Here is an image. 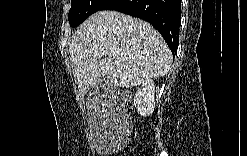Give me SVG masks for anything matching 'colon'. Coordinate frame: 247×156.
Here are the masks:
<instances>
[{
    "label": "colon",
    "instance_id": "5ec220e1",
    "mask_svg": "<svg viewBox=\"0 0 247 156\" xmlns=\"http://www.w3.org/2000/svg\"><path fill=\"white\" fill-rule=\"evenodd\" d=\"M117 97L124 103H128L131 99V93L128 90H121ZM116 113V112H115Z\"/></svg>",
    "mask_w": 247,
    "mask_h": 156
}]
</instances>
